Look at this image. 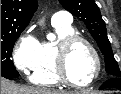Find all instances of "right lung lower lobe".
I'll use <instances>...</instances> for the list:
<instances>
[{
	"instance_id": "1",
	"label": "right lung lower lobe",
	"mask_w": 121,
	"mask_h": 94,
	"mask_svg": "<svg viewBox=\"0 0 121 94\" xmlns=\"http://www.w3.org/2000/svg\"><path fill=\"white\" fill-rule=\"evenodd\" d=\"M10 80H13L14 78H9Z\"/></svg>"
}]
</instances>
